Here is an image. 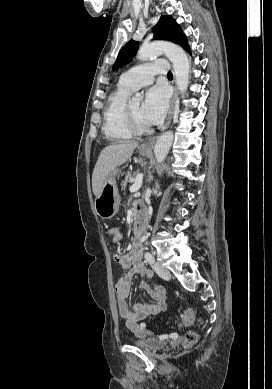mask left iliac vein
I'll list each match as a JSON object with an SVG mask.
<instances>
[{"label": "left iliac vein", "instance_id": "1", "mask_svg": "<svg viewBox=\"0 0 272 389\" xmlns=\"http://www.w3.org/2000/svg\"><path fill=\"white\" fill-rule=\"evenodd\" d=\"M153 269L161 278L165 280H169L171 278V274L166 267H163L158 263H154Z\"/></svg>", "mask_w": 272, "mask_h": 389}]
</instances>
